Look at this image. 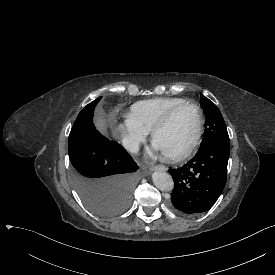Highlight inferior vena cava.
I'll list each match as a JSON object with an SVG mask.
<instances>
[{
	"label": "inferior vena cava",
	"mask_w": 275,
	"mask_h": 275,
	"mask_svg": "<svg viewBox=\"0 0 275 275\" xmlns=\"http://www.w3.org/2000/svg\"><path fill=\"white\" fill-rule=\"evenodd\" d=\"M122 143L123 147L131 153H137L139 151V143L136 140L124 139Z\"/></svg>",
	"instance_id": "1"
}]
</instances>
